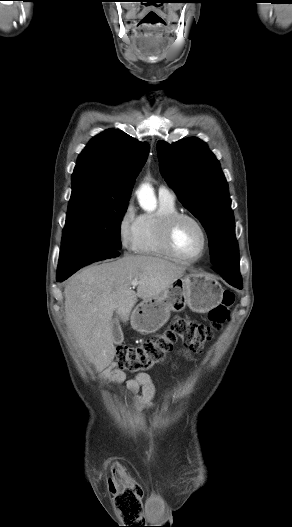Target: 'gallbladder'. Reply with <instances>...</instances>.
<instances>
[{
    "label": "gallbladder",
    "instance_id": "obj_1",
    "mask_svg": "<svg viewBox=\"0 0 292 527\" xmlns=\"http://www.w3.org/2000/svg\"><path fill=\"white\" fill-rule=\"evenodd\" d=\"M112 336L114 344L119 345L123 342L124 336L121 330V327L119 325L118 319L114 318L112 319Z\"/></svg>",
    "mask_w": 292,
    "mask_h": 527
}]
</instances>
